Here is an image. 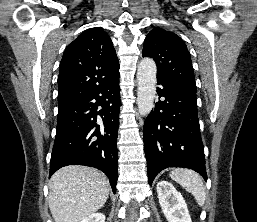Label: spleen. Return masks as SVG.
<instances>
[{"label": "spleen", "mask_w": 257, "mask_h": 222, "mask_svg": "<svg viewBox=\"0 0 257 222\" xmlns=\"http://www.w3.org/2000/svg\"><path fill=\"white\" fill-rule=\"evenodd\" d=\"M170 177L192 193L200 206L204 205L206 192L200 175L189 169H174Z\"/></svg>", "instance_id": "3e777b00"}]
</instances>
